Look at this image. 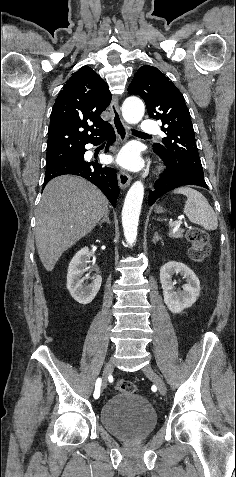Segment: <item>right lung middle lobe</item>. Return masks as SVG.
I'll return each instance as SVG.
<instances>
[{"mask_svg": "<svg viewBox=\"0 0 236 477\" xmlns=\"http://www.w3.org/2000/svg\"><path fill=\"white\" fill-rule=\"evenodd\" d=\"M77 158H78V156H77V155H74V156H72V157H70V158L65 159L62 163L70 162V161H76ZM62 163H61V164H62Z\"/></svg>", "mask_w": 236, "mask_h": 477, "instance_id": "dd1d6c3e", "label": "right lung middle lobe"}]
</instances>
